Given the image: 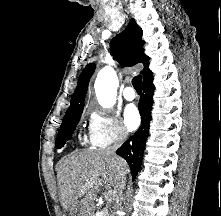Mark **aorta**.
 <instances>
[{
	"mask_svg": "<svg viewBox=\"0 0 221 216\" xmlns=\"http://www.w3.org/2000/svg\"><path fill=\"white\" fill-rule=\"evenodd\" d=\"M118 78L111 67H104L97 75L95 93L99 104L103 108H111L116 102Z\"/></svg>",
	"mask_w": 221,
	"mask_h": 216,
	"instance_id": "aorta-1",
	"label": "aorta"
}]
</instances>
